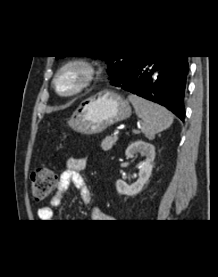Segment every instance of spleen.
Instances as JSON below:
<instances>
[{
	"label": "spleen",
	"mask_w": 218,
	"mask_h": 277,
	"mask_svg": "<svg viewBox=\"0 0 218 277\" xmlns=\"http://www.w3.org/2000/svg\"><path fill=\"white\" fill-rule=\"evenodd\" d=\"M128 99L142 119L141 130L149 139H153L155 134L169 128L173 123V115L166 108L133 94Z\"/></svg>",
	"instance_id": "spleen-1"
}]
</instances>
